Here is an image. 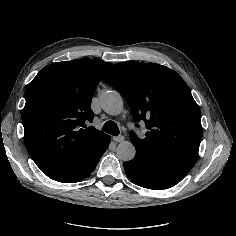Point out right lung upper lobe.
I'll return each instance as SVG.
<instances>
[{"label":"right lung upper lobe","instance_id":"cb5924a9","mask_svg":"<svg viewBox=\"0 0 236 236\" xmlns=\"http://www.w3.org/2000/svg\"><path fill=\"white\" fill-rule=\"evenodd\" d=\"M110 66L91 59L57 62L44 67L29 83L22 111L24 142L51 179L108 137L86 124L93 121L91 99Z\"/></svg>","mask_w":236,"mask_h":236}]
</instances>
